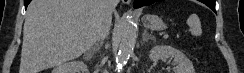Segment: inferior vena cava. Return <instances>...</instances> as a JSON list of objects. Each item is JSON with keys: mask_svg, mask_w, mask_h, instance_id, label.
Wrapping results in <instances>:
<instances>
[{"mask_svg": "<svg viewBox=\"0 0 244 73\" xmlns=\"http://www.w3.org/2000/svg\"><path fill=\"white\" fill-rule=\"evenodd\" d=\"M101 14H100V22L101 27L99 31L98 39H104L108 36L111 20H112V12L117 5V0H101Z\"/></svg>", "mask_w": 244, "mask_h": 73, "instance_id": "obj_1", "label": "inferior vena cava"}]
</instances>
